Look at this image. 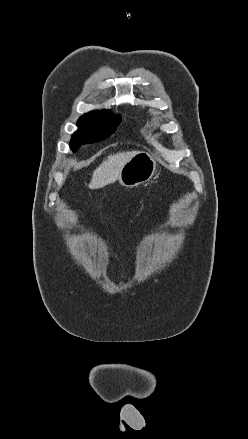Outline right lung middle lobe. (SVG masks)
<instances>
[{
    "instance_id": "obj_1",
    "label": "right lung middle lobe",
    "mask_w": 248,
    "mask_h": 439,
    "mask_svg": "<svg viewBox=\"0 0 248 439\" xmlns=\"http://www.w3.org/2000/svg\"><path fill=\"white\" fill-rule=\"evenodd\" d=\"M121 121L120 116H113L108 111H92L78 120V131L72 135L70 147L76 151L82 144L96 143L110 136Z\"/></svg>"
}]
</instances>
